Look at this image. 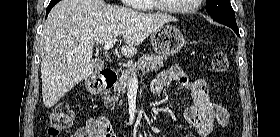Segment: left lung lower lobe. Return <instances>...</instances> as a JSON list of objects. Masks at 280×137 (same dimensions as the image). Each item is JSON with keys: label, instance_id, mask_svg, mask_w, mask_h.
Here are the masks:
<instances>
[{"label": "left lung lower lobe", "instance_id": "obj_1", "mask_svg": "<svg viewBox=\"0 0 280 137\" xmlns=\"http://www.w3.org/2000/svg\"><path fill=\"white\" fill-rule=\"evenodd\" d=\"M228 27H230L238 36H240L238 27L236 25H230Z\"/></svg>", "mask_w": 280, "mask_h": 137}]
</instances>
